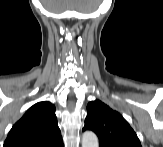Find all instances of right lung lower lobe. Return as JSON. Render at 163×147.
I'll return each instance as SVG.
<instances>
[{
	"label": "right lung lower lobe",
	"mask_w": 163,
	"mask_h": 147,
	"mask_svg": "<svg viewBox=\"0 0 163 147\" xmlns=\"http://www.w3.org/2000/svg\"><path fill=\"white\" fill-rule=\"evenodd\" d=\"M64 145L62 144V145H59V146H57V147H63Z\"/></svg>",
	"instance_id": "1"
}]
</instances>
